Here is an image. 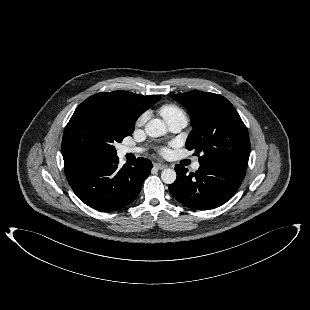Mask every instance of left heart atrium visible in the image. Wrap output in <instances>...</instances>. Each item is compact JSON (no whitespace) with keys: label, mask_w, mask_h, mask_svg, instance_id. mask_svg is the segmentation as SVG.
Masks as SVG:
<instances>
[{"label":"left heart atrium","mask_w":310,"mask_h":310,"mask_svg":"<svg viewBox=\"0 0 310 310\" xmlns=\"http://www.w3.org/2000/svg\"><path fill=\"white\" fill-rule=\"evenodd\" d=\"M160 153L163 155H167L169 153V150L167 148H161Z\"/></svg>","instance_id":"obj_1"}]
</instances>
